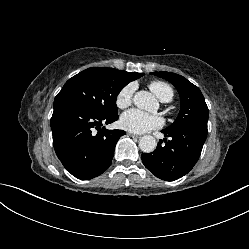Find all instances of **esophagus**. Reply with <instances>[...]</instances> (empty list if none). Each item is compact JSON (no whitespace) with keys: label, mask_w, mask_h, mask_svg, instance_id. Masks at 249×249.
I'll return each mask as SVG.
<instances>
[{"label":"esophagus","mask_w":249,"mask_h":249,"mask_svg":"<svg viewBox=\"0 0 249 249\" xmlns=\"http://www.w3.org/2000/svg\"><path fill=\"white\" fill-rule=\"evenodd\" d=\"M127 135L130 136V137H136V138L140 137L139 135L131 133V132H128Z\"/></svg>","instance_id":"34e87169"}]
</instances>
